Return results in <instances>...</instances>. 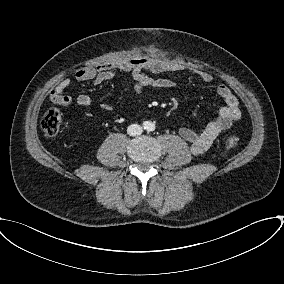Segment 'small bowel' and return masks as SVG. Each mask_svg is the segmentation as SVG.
<instances>
[{"label":"small bowel","instance_id":"1","mask_svg":"<svg viewBox=\"0 0 284 284\" xmlns=\"http://www.w3.org/2000/svg\"><path fill=\"white\" fill-rule=\"evenodd\" d=\"M181 70V66L159 58L142 57L134 58L119 63H106L96 67L87 66L75 72L77 81H93L95 85H100L120 73H129L133 78V88L137 93L143 92L148 87L159 89H171L175 83L166 78H153L148 73L160 74L165 72H175ZM198 77L205 83L213 80L211 74L198 72ZM69 78H63L50 92V99L53 103L68 108L73 100L64 92L70 85ZM218 96L223 99L224 105L218 110V115L213 120L199 129L182 127L179 135L189 143L190 150L194 155L206 152L218 136L229 131L235 122L241 118L239 101L232 91L224 84L216 88ZM77 104L88 107L92 104V98L88 94H80L77 97ZM104 109H109V105L104 104Z\"/></svg>","mask_w":284,"mask_h":284}]
</instances>
